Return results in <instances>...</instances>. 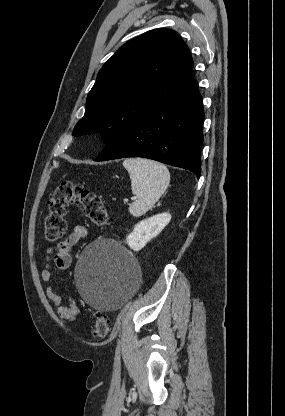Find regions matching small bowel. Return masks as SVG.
<instances>
[{"mask_svg": "<svg viewBox=\"0 0 285 416\" xmlns=\"http://www.w3.org/2000/svg\"><path fill=\"white\" fill-rule=\"evenodd\" d=\"M87 233L85 226L78 225L64 240L47 249L49 263L41 272V278L45 283H51L53 279L50 262L60 270L69 268L72 261V249L87 236ZM46 294L50 302L57 306V315L62 322H71L79 316L80 309L72 298L65 302L61 294L51 285L47 288Z\"/></svg>", "mask_w": 285, "mask_h": 416, "instance_id": "1", "label": "small bowel"}]
</instances>
